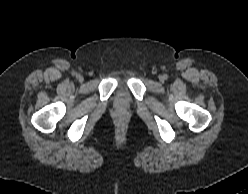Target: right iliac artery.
Listing matches in <instances>:
<instances>
[{
    "label": "right iliac artery",
    "instance_id": "obj_1",
    "mask_svg": "<svg viewBox=\"0 0 248 194\" xmlns=\"http://www.w3.org/2000/svg\"><path fill=\"white\" fill-rule=\"evenodd\" d=\"M79 76V74H76V77H78Z\"/></svg>",
    "mask_w": 248,
    "mask_h": 194
}]
</instances>
